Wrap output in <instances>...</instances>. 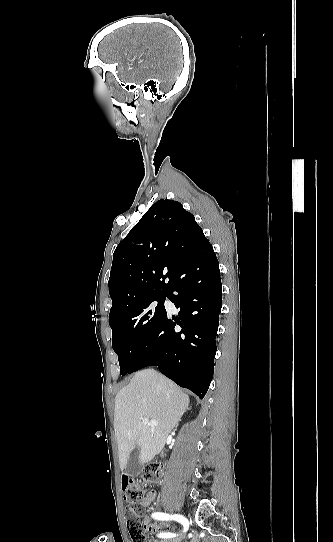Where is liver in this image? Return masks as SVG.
I'll return each instance as SVG.
<instances>
[{
    "instance_id": "1",
    "label": "liver",
    "mask_w": 333,
    "mask_h": 542,
    "mask_svg": "<svg viewBox=\"0 0 333 542\" xmlns=\"http://www.w3.org/2000/svg\"><path fill=\"white\" fill-rule=\"evenodd\" d=\"M188 406L189 396L155 370L133 376L115 398L114 430L122 474L136 446L140 448V464H148L160 454ZM140 418L157 420L158 426L144 424Z\"/></svg>"
}]
</instances>
